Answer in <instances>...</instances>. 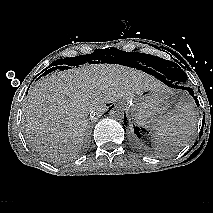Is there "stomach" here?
<instances>
[{
  "mask_svg": "<svg viewBox=\"0 0 213 213\" xmlns=\"http://www.w3.org/2000/svg\"><path fill=\"white\" fill-rule=\"evenodd\" d=\"M164 92V88L153 89L124 99V104L137 126L151 130L158 127L160 118L169 110L168 98Z\"/></svg>",
  "mask_w": 213,
  "mask_h": 213,
  "instance_id": "stomach-1",
  "label": "stomach"
}]
</instances>
